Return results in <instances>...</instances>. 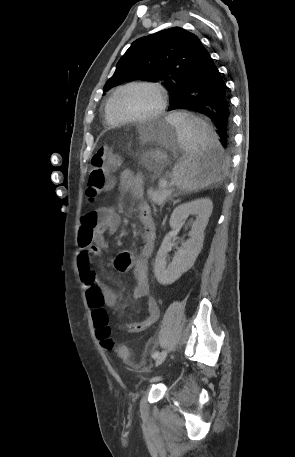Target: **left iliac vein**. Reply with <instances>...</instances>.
<instances>
[{
    "label": "left iliac vein",
    "mask_w": 295,
    "mask_h": 457,
    "mask_svg": "<svg viewBox=\"0 0 295 457\" xmlns=\"http://www.w3.org/2000/svg\"><path fill=\"white\" fill-rule=\"evenodd\" d=\"M166 356H167V351L166 350H164L161 353H159L158 357L155 360V365L156 366L160 365L165 360Z\"/></svg>",
    "instance_id": "1"
}]
</instances>
